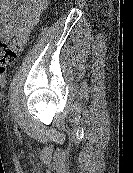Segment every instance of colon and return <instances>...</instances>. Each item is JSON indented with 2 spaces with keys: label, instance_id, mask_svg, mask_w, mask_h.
Returning <instances> with one entry per match:
<instances>
[{
  "label": "colon",
  "instance_id": "1",
  "mask_svg": "<svg viewBox=\"0 0 133 173\" xmlns=\"http://www.w3.org/2000/svg\"><path fill=\"white\" fill-rule=\"evenodd\" d=\"M17 58V47L15 43H7L0 39V70L4 71L11 66Z\"/></svg>",
  "mask_w": 133,
  "mask_h": 173
}]
</instances>
